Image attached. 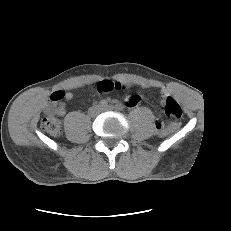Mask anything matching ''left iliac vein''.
Segmentation results:
<instances>
[{
    "label": "left iliac vein",
    "mask_w": 231,
    "mask_h": 231,
    "mask_svg": "<svg viewBox=\"0 0 231 231\" xmlns=\"http://www.w3.org/2000/svg\"><path fill=\"white\" fill-rule=\"evenodd\" d=\"M113 109H114L113 106H108V107H106L104 110H113Z\"/></svg>",
    "instance_id": "4c4485c4"
}]
</instances>
